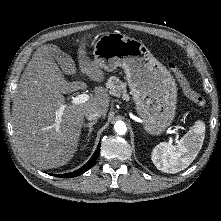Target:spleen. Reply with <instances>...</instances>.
Returning a JSON list of instances; mask_svg holds the SVG:
<instances>
[{"label": "spleen", "mask_w": 221, "mask_h": 221, "mask_svg": "<svg viewBox=\"0 0 221 221\" xmlns=\"http://www.w3.org/2000/svg\"><path fill=\"white\" fill-rule=\"evenodd\" d=\"M205 137V124L199 120L193 129L178 142L177 145L162 142L151 154L157 169L165 173H177L187 168L196 158Z\"/></svg>", "instance_id": "3e777b00"}]
</instances>
